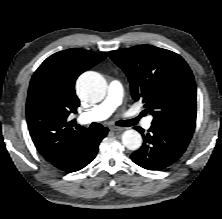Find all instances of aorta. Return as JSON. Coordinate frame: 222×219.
Returning a JSON list of instances; mask_svg holds the SVG:
<instances>
[{
    "mask_svg": "<svg viewBox=\"0 0 222 219\" xmlns=\"http://www.w3.org/2000/svg\"><path fill=\"white\" fill-rule=\"evenodd\" d=\"M106 87L105 79L93 71L83 73L76 84L79 97L91 103L99 102L105 97ZM122 143L129 150H137L142 144V137L136 130H126L122 134Z\"/></svg>",
    "mask_w": 222,
    "mask_h": 219,
    "instance_id": "762f6f07",
    "label": "aorta"
}]
</instances>
